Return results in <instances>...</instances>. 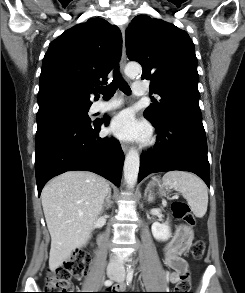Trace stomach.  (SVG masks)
<instances>
[{
    "instance_id": "stomach-1",
    "label": "stomach",
    "mask_w": 245,
    "mask_h": 293,
    "mask_svg": "<svg viewBox=\"0 0 245 293\" xmlns=\"http://www.w3.org/2000/svg\"><path fill=\"white\" fill-rule=\"evenodd\" d=\"M156 184L159 186V190L162 195H164L166 191H168V186L164 182L162 183L158 178L154 177L151 184L149 185L154 186ZM182 235L187 236V238L190 239L192 236V231L189 228H185L182 232Z\"/></svg>"
}]
</instances>
